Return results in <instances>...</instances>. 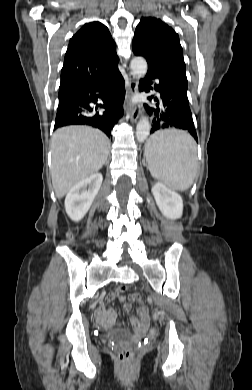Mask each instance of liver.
<instances>
[{
	"instance_id": "6515ba94",
	"label": "liver",
	"mask_w": 252,
	"mask_h": 390,
	"mask_svg": "<svg viewBox=\"0 0 252 390\" xmlns=\"http://www.w3.org/2000/svg\"><path fill=\"white\" fill-rule=\"evenodd\" d=\"M110 140L98 129L67 126L52 136L51 176L57 198L79 181L98 172L107 160Z\"/></svg>"
}]
</instances>
